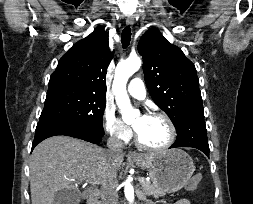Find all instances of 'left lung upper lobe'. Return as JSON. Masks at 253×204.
I'll return each mask as SVG.
<instances>
[{"instance_id":"5c2ea615","label":"left lung upper lobe","mask_w":253,"mask_h":204,"mask_svg":"<svg viewBox=\"0 0 253 204\" xmlns=\"http://www.w3.org/2000/svg\"><path fill=\"white\" fill-rule=\"evenodd\" d=\"M138 52L149 93L176 129L190 115L203 112L195 66L180 48L151 29L141 38Z\"/></svg>"}]
</instances>
